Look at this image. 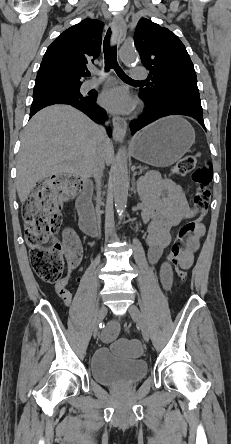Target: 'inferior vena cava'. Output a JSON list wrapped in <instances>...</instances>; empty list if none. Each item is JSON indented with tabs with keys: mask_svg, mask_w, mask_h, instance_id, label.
Segmentation results:
<instances>
[{
	"mask_svg": "<svg viewBox=\"0 0 231 444\" xmlns=\"http://www.w3.org/2000/svg\"><path fill=\"white\" fill-rule=\"evenodd\" d=\"M100 133H101V139L103 142H106L108 140L106 131L103 127H100ZM104 144L102 143L99 146V158L97 160V162L95 163L94 167H93V176L96 182V186L98 187V189L95 190L96 194H104V189H100L101 186V178L103 176V171L105 168V160H104ZM95 202V207L94 210L96 211V217L98 219V224L100 225L98 228L101 230L99 232L100 236L104 235V228L101 226L104 223V218L102 217V213L101 211H103L105 208L102 206L103 203V199L102 198H95L94 199Z\"/></svg>",
	"mask_w": 231,
	"mask_h": 444,
	"instance_id": "inferior-vena-cava-1",
	"label": "inferior vena cava"
}]
</instances>
